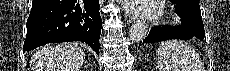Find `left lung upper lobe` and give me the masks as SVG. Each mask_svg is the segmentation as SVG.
<instances>
[{"label":"left lung upper lobe","instance_id":"5c2ea615","mask_svg":"<svg viewBox=\"0 0 230 71\" xmlns=\"http://www.w3.org/2000/svg\"><path fill=\"white\" fill-rule=\"evenodd\" d=\"M171 2L177 1V0H170Z\"/></svg>","mask_w":230,"mask_h":71}]
</instances>
